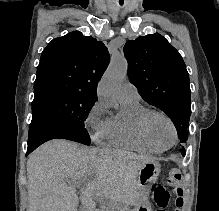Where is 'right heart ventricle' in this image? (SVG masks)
<instances>
[{
	"label": "right heart ventricle",
	"instance_id": "e07e8e85",
	"mask_svg": "<svg viewBox=\"0 0 219 211\" xmlns=\"http://www.w3.org/2000/svg\"><path fill=\"white\" fill-rule=\"evenodd\" d=\"M120 102V112L110 117L109 143L115 147L139 152H159V149L143 138L138 128V117L147 108L140 101Z\"/></svg>",
	"mask_w": 219,
	"mask_h": 211
}]
</instances>
